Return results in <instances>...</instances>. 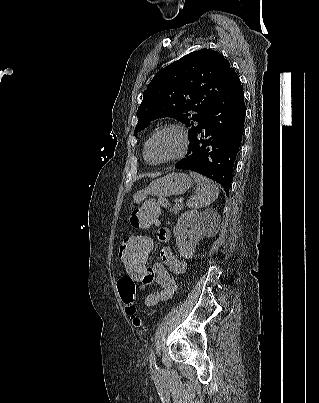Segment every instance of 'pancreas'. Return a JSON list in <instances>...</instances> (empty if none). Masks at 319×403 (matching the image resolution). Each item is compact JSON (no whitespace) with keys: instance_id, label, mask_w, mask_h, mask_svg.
Segmentation results:
<instances>
[{"instance_id":"obj_1","label":"pancreas","mask_w":319,"mask_h":403,"mask_svg":"<svg viewBox=\"0 0 319 403\" xmlns=\"http://www.w3.org/2000/svg\"><path fill=\"white\" fill-rule=\"evenodd\" d=\"M183 208L182 204H178L177 202H175V204L173 205L172 208H170V212L174 213V214H178L179 211Z\"/></svg>"}]
</instances>
